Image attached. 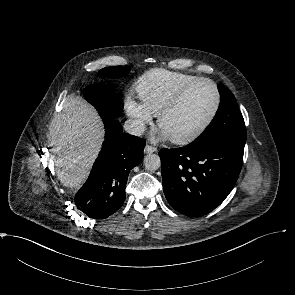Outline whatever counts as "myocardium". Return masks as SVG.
Wrapping results in <instances>:
<instances>
[{
  "mask_svg": "<svg viewBox=\"0 0 295 295\" xmlns=\"http://www.w3.org/2000/svg\"><path fill=\"white\" fill-rule=\"evenodd\" d=\"M200 83H207L209 84L215 91L216 94V104L214 107V110L209 117V119L205 122L204 125H202L197 131L194 133L184 137V138H177V139H171V141L174 144L177 145H187L190 144L197 139H199L201 136H203L213 125L215 120L218 117V114L220 112L221 104H222V96L221 92L219 90V87L217 84L209 79V78H197L196 80L188 83L185 85L182 89H180L175 96L162 108V110L158 114V126L161 128L162 122L165 119L167 115H169L171 112H173L183 101L185 96L198 84Z\"/></svg>",
  "mask_w": 295,
  "mask_h": 295,
  "instance_id": "obj_1",
  "label": "myocardium"
}]
</instances>
